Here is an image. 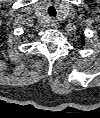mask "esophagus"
I'll use <instances>...</instances> for the list:
<instances>
[{
	"instance_id": "obj_1",
	"label": "esophagus",
	"mask_w": 100,
	"mask_h": 118,
	"mask_svg": "<svg viewBox=\"0 0 100 118\" xmlns=\"http://www.w3.org/2000/svg\"><path fill=\"white\" fill-rule=\"evenodd\" d=\"M51 26H52L53 28H57V27H58V24L56 23V21L52 20V21H51Z\"/></svg>"
}]
</instances>
